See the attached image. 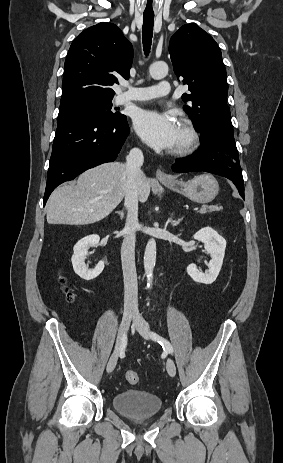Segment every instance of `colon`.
Returning a JSON list of instances; mask_svg holds the SVG:
<instances>
[{
	"label": "colon",
	"mask_w": 283,
	"mask_h": 463,
	"mask_svg": "<svg viewBox=\"0 0 283 463\" xmlns=\"http://www.w3.org/2000/svg\"><path fill=\"white\" fill-rule=\"evenodd\" d=\"M59 283H60V289L63 292L65 298L67 301L73 300V293L70 291V289L65 285V281L63 278H59ZM125 379L128 383L130 384H138L140 381V376L137 372L135 371H127L125 374Z\"/></svg>",
	"instance_id": "1"
}]
</instances>
